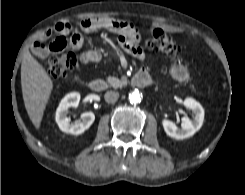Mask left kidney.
I'll return each instance as SVG.
<instances>
[{"mask_svg":"<svg viewBox=\"0 0 245 195\" xmlns=\"http://www.w3.org/2000/svg\"><path fill=\"white\" fill-rule=\"evenodd\" d=\"M183 104L186 108L195 113L193 119L184 116L182 118L181 128H178L175 123L170 120H162V125L166 134L178 140L193 136L201 128L204 120V109L199 102L193 98H186Z\"/></svg>","mask_w":245,"mask_h":195,"instance_id":"left-kidney-1","label":"left kidney"}]
</instances>
